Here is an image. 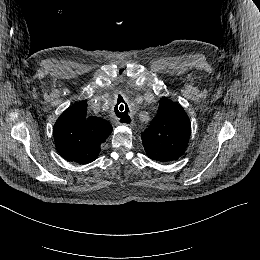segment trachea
I'll list each match as a JSON object with an SVG mask.
<instances>
[{
  "label": "trachea",
  "instance_id": "3493384b",
  "mask_svg": "<svg viewBox=\"0 0 260 260\" xmlns=\"http://www.w3.org/2000/svg\"><path fill=\"white\" fill-rule=\"evenodd\" d=\"M129 109L128 106L125 104L120 105L119 108L115 107V115L120 118L121 123H125L126 121L128 122L130 120V117L128 116Z\"/></svg>",
  "mask_w": 260,
  "mask_h": 260
}]
</instances>
